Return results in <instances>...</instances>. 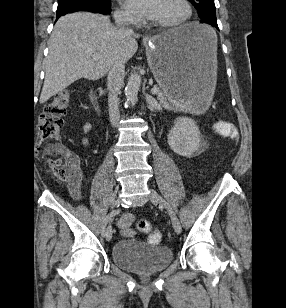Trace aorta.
I'll use <instances>...</instances> for the list:
<instances>
[{
    "instance_id": "obj_1",
    "label": "aorta",
    "mask_w": 286,
    "mask_h": 308,
    "mask_svg": "<svg viewBox=\"0 0 286 308\" xmlns=\"http://www.w3.org/2000/svg\"><path fill=\"white\" fill-rule=\"evenodd\" d=\"M141 85V77L137 72H133L125 88L127 101L134 103L138 99V91Z\"/></svg>"
}]
</instances>
